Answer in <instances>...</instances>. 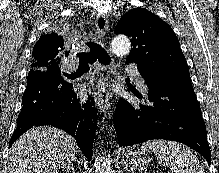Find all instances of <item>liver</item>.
Masks as SVG:
<instances>
[{"instance_id":"6515ba94","label":"liver","mask_w":219,"mask_h":173,"mask_svg":"<svg viewBox=\"0 0 219 173\" xmlns=\"http://www.w3.org/2000/svg\"><path fill=\"white\" fill-rule=\"evenodd\" d=\"M76 140L51 126L34 127L12 145L3 173H57L74 161Z\"/></svg>"}]
</instances>
